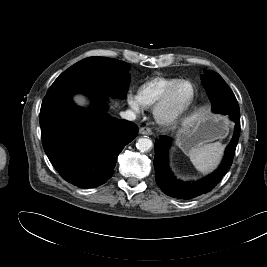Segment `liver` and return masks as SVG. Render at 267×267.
Instances as JSON below:
<instances>
[{"label":"liver","instance_id":"6515ba94","mask_svg":"<svg viewBox=\"0 0 267 267\" xmlns=\"http://www.w3.org/2000/svg\"><path fill=\"white\" fill-rule=\"evenodd\" d=\"M75 101L81 105L85 103V100L81 97H78V96L75 97Z\"/></svg>","mask_w":267,"mask_h":267}]
</instances>
